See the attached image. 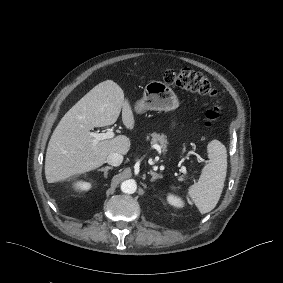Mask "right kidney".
<instances>
[{
	"mask_svg": "<svg viewBox=\"0 0 283 283\" xmlns=\"http://www.w3.org/2000/svg\"><path fill=\"white\" fill-rule=\"evenodd\" d=\"M74 188L80 191H87L91 188V184L85 181H76L74 183Z\"/></svg>",
	"mask_w": 283,
	"mask_h": 283,
	"instance_id": "1",
	"label": "right kidney"
}]
</instances>
